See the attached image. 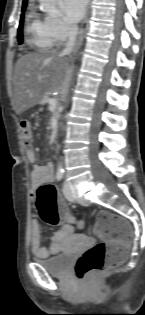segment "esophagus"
I'll return each mask as SVG.
<instances>
[{
    "mask_svg": "<svg viewBox=\"0 0 145 315\" xmlns=\"http://www.w3.org/2000/svg\"><path fill=\"white\" fill-rule=\"evenodd\" d=\"M90 6H91V0H88L85 16H84V19L82 21L81 27L79 29L78 36L76 38L75 49H78L80 47V45L82 44V41L84 39V35L86 33L87 26H88V19H89V15H90Z\"/></svg>",
    "mask_w": 145,
    "mask_h": 315,
    "instance_id": "34e87169",
    "label": "esophagus"
}]
</instances>
